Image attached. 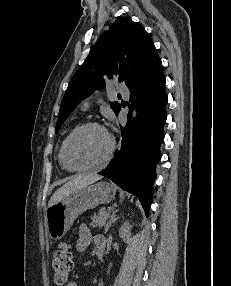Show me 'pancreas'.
Wrapping results in <instances>:
<instances>
[{
    "instance_id": "obj_1",
    "label": "pancreas",
    "mask_w": 231,
    "mask_h": 286,
    "mask_svg": "<svg viewBox=\"0 0 231 286\" xmlns=\"http://www.w3.org/2000/svg\"><path fill=\"white\" fill-rule=\"evenodd\" d=\"M110 213L105 210L99 211L92 217V222L90 224L91 227H102L105 225Z\"/></svg>"
}]
</instances>
